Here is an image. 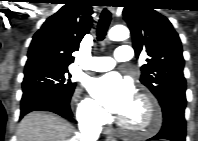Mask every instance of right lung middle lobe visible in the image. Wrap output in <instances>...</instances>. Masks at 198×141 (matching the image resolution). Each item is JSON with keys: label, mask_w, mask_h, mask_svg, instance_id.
Returning a JSON list of instances; mask_svg holds the SVG:
<instances>
[{"label": "right lung middle lobe", "mask_w": 198, "mask_h": 141, "mask_svg": "<svg viewBox=\"0 0 198 141\" xmlns=\"http://www.w3.org/2000/svg\"><path fill=\"white\" fill-rule=\"evenodd\" d=\"M68 68H41L24 73L23 92L44 90L64 98H70L75 89Z\"/></svg>", "instance_id": "1"}]
</instances>
